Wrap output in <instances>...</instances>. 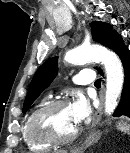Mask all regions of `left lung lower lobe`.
Returning <instances> with one entry per match:
<instances>
[{
    "instance_id": "1",
    "label": "left lung lower lobe",
    "mask_w": 130,
    "mask_h": 153,
    "mask_svg": "<svg viewBox=\"0 0 130 153\" xmlns=\"http://www.w3.org/2000/svg\"><path fill=\"white\" fill-rule=\"evenodd\" d=\"M105 46L114 50L119 55L125 73L121 100L115 110L114 116L125 115L130 117V51L124 45L122 38L117 33L108 39ZM98 72L103 75L101 69H98Z\"/></svg>"
}]
</instances>
